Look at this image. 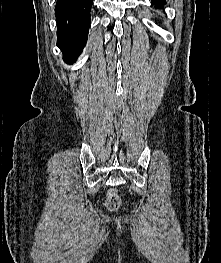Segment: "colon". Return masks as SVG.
<instances>
[{
	"label": "colon",
	"instance_id": "1",
	"mask_svg": "<svg viewBox=\"0 0 221 263\" xmlns=\"http://www.w3.org/2000/svg\"><path fill=\"white\" fill-rule=\"evenodd\" d=\"M105 205L109 211H116L121 207V198L115 189L108 191Z\"/></svg>",
	"mask_w": 221,
	"mask_h": 263
}]
</instances>
